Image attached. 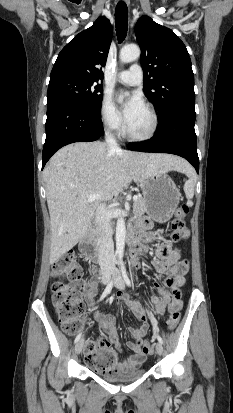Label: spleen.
Segmentation results:
<instances>
[{
    "instance_id": "1",
    "label": "spleen",
    "mask_w": 233,
    "mask_h": 413,
    "mask_svg": "<svg viewBox=\"0 0 233 413\" xmlns=\"http://www.w3.org/2000/svg\"><path fill=\"white\" fill-rule=\"evenodd\" d=\"M189 179L184 184V192L187 199H192L194 196L195 175L191 171H187Z\"/></svg>"
}]
</instances>
